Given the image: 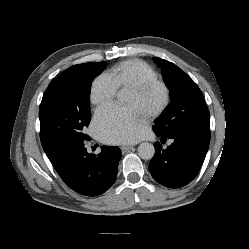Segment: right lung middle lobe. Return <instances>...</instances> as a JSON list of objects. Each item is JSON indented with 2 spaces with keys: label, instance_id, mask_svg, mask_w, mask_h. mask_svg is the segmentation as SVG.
Segmentation results:
<instances>
[{
  "label": "right lung middle lobe",
  "instance_id": "right-lung-middle-lobe-1",
  "mask_svg": "<svg viewBox=\"0 0 249 249\" xmlns=\"http://www.w3.org/2000/svg\"><path fill=\"white\" fill-rule=\"evenodd\" d=\"M106 66V62L74 65L51 81L39 109L44 151L57 144L89 139L83 130L91 118V84Z\"/></svg>",
  "mask_w": 249,
  "mask_h": 249
}]
</instances>
